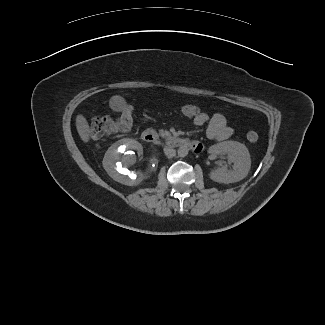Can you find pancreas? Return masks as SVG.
<instances>
[{"mask_svg":"<svg viewBox=\"0 0 325 325\" xmlns=\"http://www.w3.org/2000/svg\"><path fill=\"white\" fill-rule=\"evenodd\" d=\"M159 134L164 138H168V137L171 136V134L168 131H165V130H159Z\"/></svg>","mask_w":325,"mask_h":325,"instance_id":"1","label":"pancreas"}]
</instances>
